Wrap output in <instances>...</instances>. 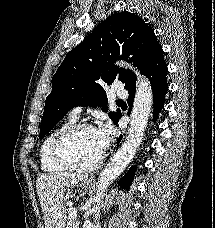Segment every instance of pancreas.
Masks as SVG:
<instances>
[{"label":"pancreas","mask_w":215,"mask_h":228,"mask_svg":"<svg viewBox=\"0 0 215 228\" xmlns=\"http://www.w3.org/2000/svg\"><path fill=\"white\" fill-rule=\"evenodd\" d=\"M67 220V228H76L75 220L73 216H71V210H68Z\"/></svg>","instance_id":"pancreas-1"}]
</instances>
